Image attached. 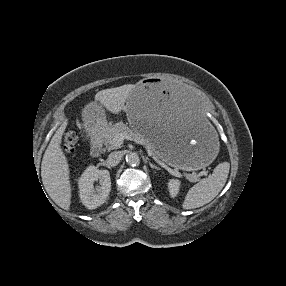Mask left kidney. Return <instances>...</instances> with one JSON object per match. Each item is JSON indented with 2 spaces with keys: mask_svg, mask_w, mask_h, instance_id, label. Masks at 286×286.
Instances as JSON below:
<instances>
[{
  "mask_svg": "<svg viewBox=\"0 0 286 286\" xmlns=\"http://www.w3.org/2000/svg\"><path fill=\"white\" fill-rule=\"evenodd\" d=\"M180 181L176 179L169 180L168 189L172 197H176L179 193Z\"/></svg>",
  "mask_w": 286,
  "mask_h": 286,
  "instance_id": "1",
  "label": "left kidney"
}]
</instances>
